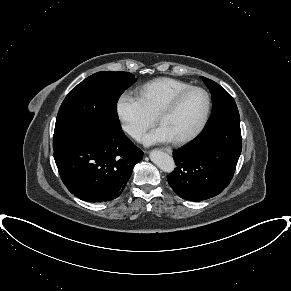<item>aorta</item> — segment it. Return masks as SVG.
I'll return each instance as SVG.
<instances>
[{
  "mask_svg": "<svg viewBox=\"0 0 291 291\" xmlns=\"http://www.w3.org/2000/svg\"><path fill=\"white\" fill-rule=\"evenodd\" d=\"M150 159L164 172L171 173L175 169L173 158L161 150H152L150 152Z\"/></svg>",
  "mask_w": 291,
  "mask_h": 291,
  "instance_id": "762f6f07",
  "label": "aorta"
}]
</instances>
